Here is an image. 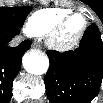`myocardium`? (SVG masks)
Listing matches in <instances>:
<instances>
[{"mask_svg": "<svg viewBox=\"0 0 103 103\" xmlns=\"http://www.w3.org/2000/svg\"><path fill=\"white\" fill-rule=\"evenodd\" d=\"M82 16L84 20V24L82 29L79 31L78 34H76L74 37L68 40L62 39L61 35L62 32L67 25V23L75 16ZM88 27V19L85 16L84 13L81 12H69L68 14L64 15L62 18L57 20L53 26L50 28L48 33L46 34V42L49 47L64 51L73 48L76 44L79 43V41L84 36L86 30Z\"/></svg>", "mask_w": 103, "mask_h": 103, "instance_id": "f54148a6", "label": "myocardium"}]
</instances>
